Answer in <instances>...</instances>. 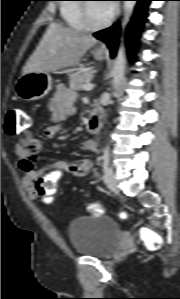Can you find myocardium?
<instances>
[{
    "instance_id": "myocardium-1",
    "label": "myocardium",
    "mask_w": 180,
    "mask_h": 299,
    "mask_svg": "<svg viewBox=\"0 0 180 299\" xmlns=\"http://www.w3.org/2000/svg\"><path fill=\"white\" fill-rule=\"evenodd\" d=\"M87 1V0H84ZM81 13H82V21L86 29L91 31H97L106 28L109 26L114 18L113 13H110L109 17L102 23L94 24L91 21L90 14H89V3L84 2L81 4Z\"/></svg>"
}]
</instances>
